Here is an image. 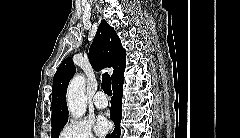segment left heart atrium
Listing matches in <instances>:
<instances>
[{"label": "left heart atrium", "mask_w": 240, "mask_h": 138, "mask_svg": "<svg viewBox=\"0 0 240 138\" xmlns=\"http://www.w3.org/2000/svg\"><path fill=\"white\" fill-rule=\"evenodd\" d=\"M109 129V122L105 117H99L96 122V132L99 135L106 133Z\"/></svg>", "instance_id": "39dd6f15"}]
</instances>
